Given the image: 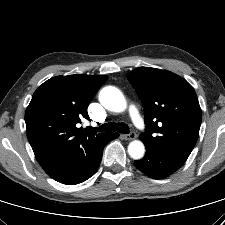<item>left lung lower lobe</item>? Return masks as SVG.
I'll return each instance as SVG.
<instances>
[{
	"label": "left lung lower lobe",
	"mask_w": 225,
	"mask_h": 225,
	"mask_svg": "<svg viewBox=\"0 0 225 225\" xmlns=\"http://www.w3.org/2000/svg\"><path fill=\"white\" fill-rule=\"evenodd\" d=\"M146 155L134 162L144 174L154 179L165 178L177 171L185 161L180 160L160 149L145 145Z\"/></svg>",
	"instance_id": "obj_1"
}]
</instances>
